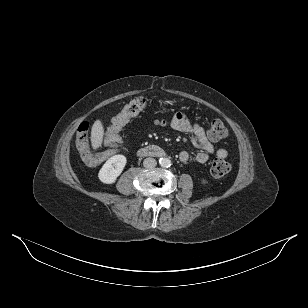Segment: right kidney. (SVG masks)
I'll use <instances>...</instances> for the list:
<instances>
[{
	"label": "right kidney",
	"mask_w": 308,
	"mask_h": 308,
	"mask_svg": "<svg viewBox=\"0 0 308 308\" xmlns=\"http://www.w3.org/2000/svg\"><path fill=\"white\" fill-rule=\"evenodd\" d=\"M127 159L124 155H114L109 158L98 173V178L105 184H113L122 173Z\"/></svg>",
	"instance_id": "ca27d5eb"
}]
</instances>
